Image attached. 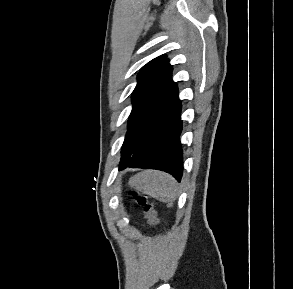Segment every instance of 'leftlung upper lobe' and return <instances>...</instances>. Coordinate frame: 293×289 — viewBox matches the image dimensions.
<instances>
[{
  "mask_svg": "<svg viewBox=\"0 0 293 289\" xmlns=\"http://www.w3.org/2000/svg\"><path fill=\"white\" fill-rule=\"evenodd\" d=\"M171 72L172 68L166 56L153 59L140 70L138 83L132 93L133 109L128 128L176 87L171 79ZM131 155L123 143L120 165L128 162Z\"/></svg>",
  "mask_w": 293,
  "mask_h": 289,
  "instance_id": "obj_1",
  "label": "left lung upper lobe"
}]
</instances>
